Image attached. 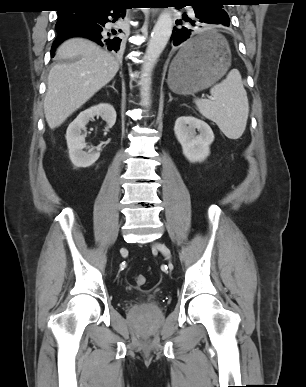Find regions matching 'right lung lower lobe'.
I'll list each match as a JSON object with an SVG mask.
<instances>
[{
  "label": "right lung lower lobe",
  "mask_w": 306,
  "mask_h": 387,
  "mask_svg": "<svg viewBox=\"0 0 306 387\" xmlns=\"http://www.w3.org/2000/svg\"><path fill=\"white\" fill-rule=\"evenodd\" d=\"M84 20L74 26L57 31L58 36L52 45V57L55 48L65 39L81 36L97 42L101 46H106L109 50L118 51L122 39L118 36L121 30L115 26L113 29L108 27V23L120 21L126 14V7L122 3L114 2L102 7L86 8ZM113 18V20H112Z\"/></svg>",
  "instance_id": "obj_1"
}]
</instances>
